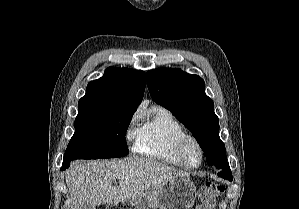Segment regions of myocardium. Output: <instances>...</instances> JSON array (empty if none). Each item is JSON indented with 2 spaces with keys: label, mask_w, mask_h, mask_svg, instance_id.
<instances>
[{
  "label": "myocardium",
  "mask_w": 299,
  "mask_h": 209,
  "mask_svg": "<svg viewBox=\"0 0 299 209\" xmlns=\"http://www.w3.org/2000/svg\"><path fill=\"white\" fill-rule=\"evenodd\" d=\"M189 143H194L200 151V162L197 165H190L185 158V151ZM175 156L179 164L186 169H197L202 166L205 159V150L201 142L192 135L182 136L175 145Z\"/></svg>",
  "instance_id": "1"
}]
</instances>
